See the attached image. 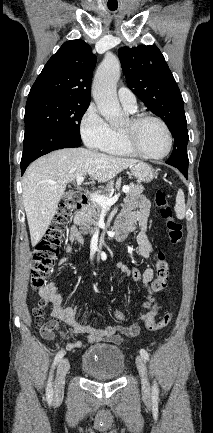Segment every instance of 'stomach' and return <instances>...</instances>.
Listing matches in <instances>:
<instances>
[{
	"instance_id": "0dacf381",
	"label": "stomach",
	"mask_w": 213,
	"mask_h": 433,
	"mask_svg": "<svg viewBox=\"0 0 213 433\" xmlns=\"http://www.w3.org/2000/svg\"><path fill=\"white\" fill-rule=\"evenodd\" d=\"M130 172L140 182L148 183L155 177V170L152 166L143 162L130 166Z\"/></svg>"
}]
</instances>
